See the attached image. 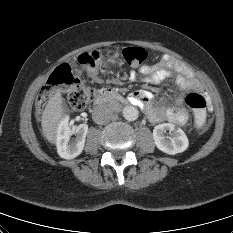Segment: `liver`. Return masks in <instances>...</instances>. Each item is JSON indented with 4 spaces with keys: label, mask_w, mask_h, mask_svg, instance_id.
<instances>
[{
    "label": "liver",
    "mask_w": 233,
    "mask_h": 233,
    "mask_svg": "<svg viewBox=\"0 0 233 233\" xmlns=\"http://www.w3.org/2000/svg\"><path fill=\"white\" fill-rule=\"evenodd\" d=\"M63 98L58 90L48 101L41 119L44 137L51 144L57 141V128L64 115Z\"/></svg>",
    "instance_id": "6515ba94"
}]
</instances>
